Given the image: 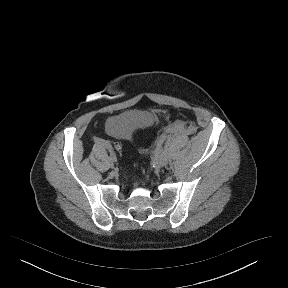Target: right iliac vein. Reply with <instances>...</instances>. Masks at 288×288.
Returning a JSON list of instances; mask_svg holds the SVG:
<instances>
[{"mask_svg":"<svg viewBox=\"0 0 288 288\" xmlns=\"http://www.w3.org/2000/svg\"><path fill=\"white\" fill-rule=\"evenodd\" d=\"M110 167H111V168L114 167V163H113V161L110 162Z\"/></svg>","mask_w":288,"mask_h":288,"instance_id":"63e3f726","label":"right iliac vein"}]
</instances>
